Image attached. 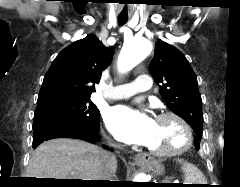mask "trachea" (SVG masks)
<instances>
[{
    "mask_svg": "<svg viewBox=\"0 0 240 187\" xmlns=\"http://www.w3.org/2000/svg\"><path fill=\"white\" fill-rule=\"evenodd\" d=\"M128 21V17H118V24L119 25H124Z\"/></svg>",
    "mask_w": 240,
    "mask_h": 187,
    "instance_id": "obj_1",
    "label": "trachea"
}]
</instances>
